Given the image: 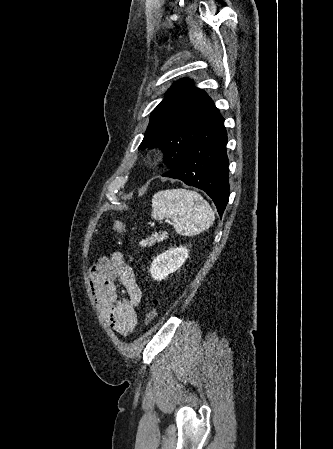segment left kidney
<instances>
[{
  "label": "left kidney",
  "mask_w": 333,
  "mask_h": 449,
  "mask_svg": "<svg viewBox=\"0 0 333 449\" xmlns=\"http://www.w3.org/2000/svg\"><path fill=\"white\" fill-rule=\"evenodd\" d=\"M188 257L189 250L186 247L170 248L154 258L150 273L154 280L165 279L169 274L180 268Z\"/></svg>",
  "instance_id": "obj_1"
}]
</instances>
